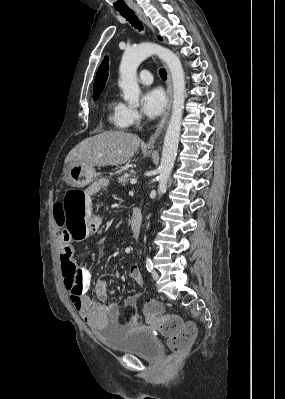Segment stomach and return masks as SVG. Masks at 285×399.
Listing matches in <instances>:
<instances>
[{
    "instance_id": "1",
    "label": "stomach",
    "mask_w": 285,
    "mask_h": 399,
    "mask_svg": "<svg viewBox=\"0 0 285 399\" xmlns=\"http://www.w3.org/2000/svg\"><path fill=\"white\" fill-rule=\"evenodd\" d=\"M63 175L68 185L80 188L90 184L94 180L95 169L93 166L73 162L64 167Z\"/></svg>"
}]
</instances>
